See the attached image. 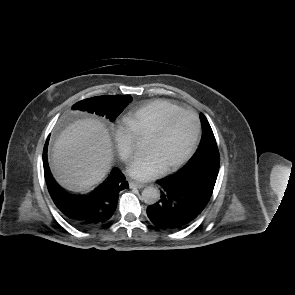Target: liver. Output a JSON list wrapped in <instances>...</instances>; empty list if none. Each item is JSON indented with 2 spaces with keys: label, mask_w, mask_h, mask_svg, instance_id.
Segmentation results:
<instances>
[{
  "label": "liver",
  "mask_w": 295,
  "mask_h": 295,
  "mask_svg": "<svg viewBox=\"0 0 295 295\" xmlns=\"http://www.w3.org/2000/svg\"><path fill=\"white\" fill-rule=\"evenodd\" d=\"M113 159L106 127L94 119L70 124L56 140L51 170L56 180L71 191H87L108 174Z\"/></svg>",
  "instance_id": "1"
}]
</instances>
